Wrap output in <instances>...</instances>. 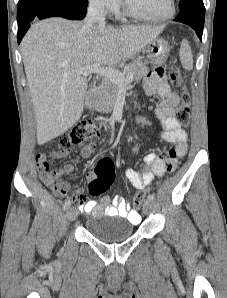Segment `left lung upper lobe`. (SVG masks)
I'll use <instances>...</instances> for the list:
<instances>
[{
  "mask_svg": "<svg viewBox=\"0 0 227 298\" xmlns=\"http://www.w3.org/2000/svg\"><path fill=\"white\" fill-rule=\"evenodd\" d=\"M194 13L205 17L203 0H180L179 15Z\"/></svg>",
  "mask_w": 227,
  "mask_h": 298,
  "instance_id": "5c2ea615",
  "label": "left lung upper lobe"
}]
</instances>
